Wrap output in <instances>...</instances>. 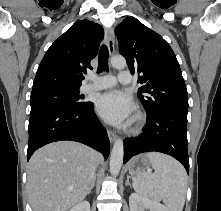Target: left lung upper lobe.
<instances>
[{
    "label": "left lung upper lobe",
    "mask_w": 221,
    "mask_h": 211,
    "mask_svg": "<svg viewBox=\"0 0 221 211\" xmlns=\"http://www.w3.org/2000/svg\"><path fill=\"white\" fill-rule=\"evenodd\" d=\"M119 51L132 74L138 73V97L147 114L169 108L188 110L181 69L170 45L134 17L116 27Z\"/></svg>",
    "instance_id": "5c2ea615"
}]
</instances>
